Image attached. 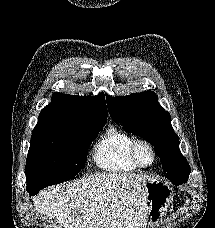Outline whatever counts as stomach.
<instances>
[{"mask_svg": "<svg viewBox=\"0 0 215 228\" xmlns=\"http://www.w3.org/2000/svg\"><path fill=\"white\" fill-rule=\"evenodd\" d=\"M148 228H159L163 216L173 200V190L162 180H152L145 188Z\"/></svg>", "mask_w": 215, "mask_h": 228, "instance_id": "obj_1", "label": "stomach"}]
</instances>
